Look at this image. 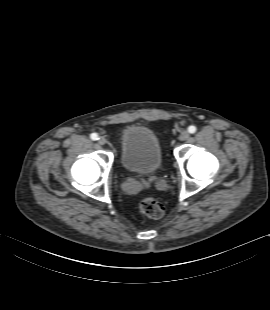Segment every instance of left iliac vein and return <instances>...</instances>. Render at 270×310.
<instances>
[{
    "instance_id": "4c4485c4",
    "label": "left iliac vein",
    "mask_w": 270,
    "mask_h": 310,
    "mask_svg": "<svg viewBox=\"0 0 270 310\" xmlns=\"http://www.w3.org/2000/svg\"><path fill=\"white\" fill-rule=\"evenodd\" d=\"M189 136H190V135H189L188 131H182V132L180 133L178 139H179L180 141H186V140L189 138Z\"/></svg>"
}]
</instances>
